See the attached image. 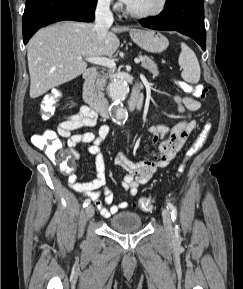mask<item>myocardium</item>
I'll list each match as a JSON object with an SVG mask.
<instances>
[{
    "instance_id": "obj_1",
    "label": "myocardium",
    "mask_w": 243,
    "mask_h": 289,
    "mask_svg": "<svg viewBox=\"0 0 243 289\" xmlns=\"http://www.w3.org/2000/svg\"><path fill=\"white\" fill-rule=\"evenodd\" d=\"M167 4H168V0H159L157 6L154 9L145 11V12L134 11L128 5H126L125 12L129 16L134 17V18H139V19L150 18V17H154V16L161 14L166 9Z\"/></svg>"
}]
</instances>
